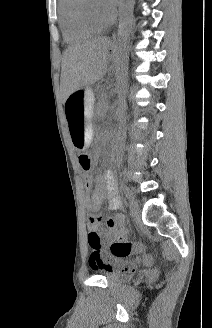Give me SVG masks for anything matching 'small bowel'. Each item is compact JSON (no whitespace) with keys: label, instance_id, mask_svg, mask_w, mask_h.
Masks as SVG:
<instances>
[{"label":"small bowel","instance_id":"c3829d8e","mask_svg":"<svg viewBox=\"0 0 212 328\" xmlns=\"http://www.w3.org/2000/svg\"><path fill=\"white\" fill-rule=\"evenodd\" d=\"M83 172L85 189L88 193L87 209L91 213L90 229L96 232L101 231L106 242L125 239L128 231L122 213H117L113 217H104L98 214L105 199L108 200L110 210L115 211L122 208V200L118 193L114 173L108 170L104 174L97 175L94 178L90 170H83ZM91 267L98 269L94 266ZM123 269L132 270L133 265L128 264Z\"/></svg>","mask_w":212,"mask_h":328}]
</instances>
